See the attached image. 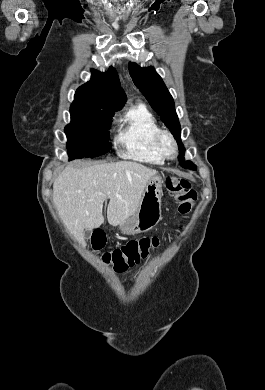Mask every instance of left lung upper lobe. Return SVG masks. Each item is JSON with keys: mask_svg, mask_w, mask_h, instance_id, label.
Wrapping results in <instances>:
<instances>
[{"mask_svg": "<svg viewBox=\"0 0 265 390\" xmlns=\"http://www.w3.org/2000/svg\"><path fill=\"white\" fill-rule=\"evenodd\" d=\"M129 73L134 84L144 94L151 107L161 117L171 131L179 146L178 160L184 168L196 170V165L185 161V148L180 140L181 127L175 111V103L162 78L153 67L141 68L134 62L129 63Z\"/></svg>", "mask_w": 265, "mask_h": 390, "instance_id": "obj_1", "label": "left lung upper lobe"}]
</instances>
